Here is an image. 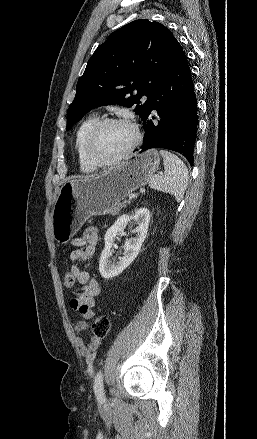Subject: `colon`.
<instances>
[{
  "instance_id": "5ec220e1",
  "label": "colon",
  "mask_w": 257,
  "mask_h": 439,
  "mask_svg": "<svg viewBox=\"0 0 257 439\" xmlns=\"http://www.w3.org/2000/svg\"><path fill=\"white\" fill-rule=\"evenodd\" d=\"M75 283V278L71 271H67L63 276V284L66 287H72ZM92 332L94 336L104 338L110 332V320L106 316H97L92 323Z\"/></svg>"
}]
</instances>
